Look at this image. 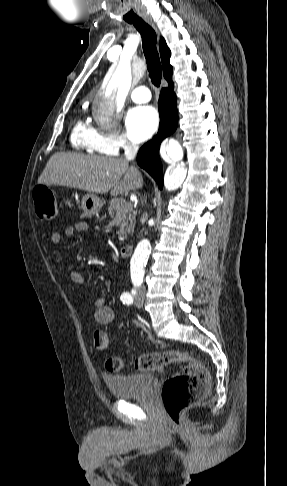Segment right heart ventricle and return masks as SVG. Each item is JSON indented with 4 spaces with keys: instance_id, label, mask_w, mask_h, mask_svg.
Returning a JSON list of instances; mask_svg holds the SVG:
<instances>
[{
    "instance_id": "1",
    "label": "right heart ventricle",
    "mask_w": 287,
    "mask_h": 486,
    "mask_svg": "<svg viewBox=\"0 0 287 486\" xmlns=\"http://www.w3.org/2000/svg\"><path fill=\"white\" fill-rule=\"evenodd\" d=\"M98 137V131L84 121H78L71 133V143L79 150L88 152H98L95 149V142Z\"/></svg>"
}]
</instances>
